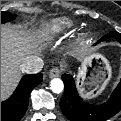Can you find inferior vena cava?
<instances>
[{"mask_svg": "<svg viewBox=\"0 0 121 121\" xmlns=\"http://www.w3.org/2000/svg\"><path fill=\"white\" fill-rule=\"evenodd\" d=\"M43 60L37 55H30L26 57L20 66V70L26 74L39 73L43 68Z\"/></svg>", "mask_w": 121, "mask_h": 121, "instance_id": "602c4592", "label": "inferior vena cava"}]
</instances>
